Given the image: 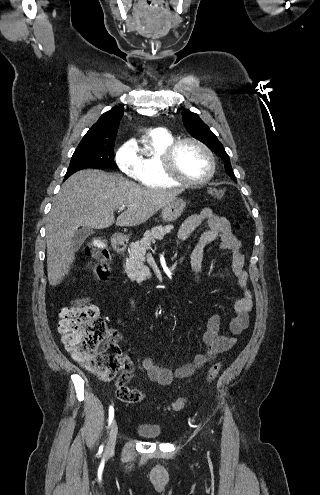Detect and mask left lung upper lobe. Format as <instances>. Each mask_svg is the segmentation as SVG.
Listing matches in <instances>:
<instances>
[{"label":"left lung upper lobe","instance_id":"5c2ea615","mask_svg":"<svg viewBox=\"0 0 320 495\" xmlns=\"http://www.w3.org/2000/svg\"><path fill=\"white\" fill-rule=\"evenodd\" d=\"M182 118L187 131L192 137L204 143L210 150L217 153L225 162V172L236 181V177L233 173L230 159L221 142L217 139L216 135L209 129V127L200 119L198 114L189 110H183Z\"/></svg>","mask_w":320,"mask_h":495}]
</instances>
